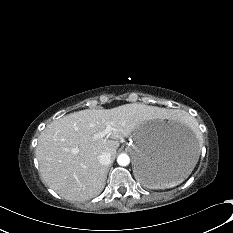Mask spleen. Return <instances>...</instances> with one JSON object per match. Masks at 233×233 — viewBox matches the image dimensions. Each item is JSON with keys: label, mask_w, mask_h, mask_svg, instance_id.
I'll list each match as a JSON object with an SVG mask.
<instances>
[{"label": "spleen", "mask_w": 233, "mask_h": 233, "mask_svg": "<svg viewBox=\"0 0 233 233\" xmlns=\"http://www.w3.org/2000/svg\"><path fill=\"white\" fill-rule=\"evenodd\" d=\"M180 119H182V117H180ZM186 120L190 121V119H188V118ZM174 185H176V184H170V185L162 186V187H159V188L172 187Z\"/></svg>", "instance_id": "spleen-1"}]
</instances>
